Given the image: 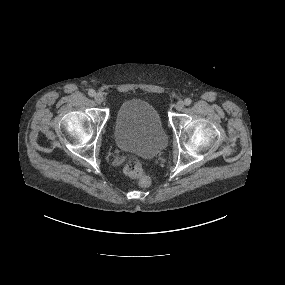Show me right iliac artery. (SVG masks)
<instances>
[{"label":"right iliac artery","mask_w":285,"mask_h":285,"mask_svg":"<svg viewBox=\"0 0 285 285\" xmlns=\"http://www.w3.org/2000/svg\"><path fill=\"white\" fill-rule=\"evenodd\" d=\"M88 94H89L90 97H93V96H95L96 92H95V90L90 89V90L88 91Z\"/></svg>","instance_id":"82829eb1"}]
</instances>
